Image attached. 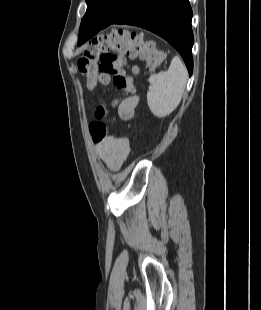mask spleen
Masks as SVG:
<instances>
[{
	"label": "spleen",
	"mask_w": 261,
	"mask_h": 310,
	"mask_svg": "<svg viewBox=\"0 0 261 310\" xmlns=\"http://www.w3.org/2000/svg\"><path fill=\"white\" fill-rule=\"evenodd\" d=\"M188 72L178 56H175L167 71L149 77L151 84L147 92L150 111L158 118L170 115L180 104L185 91Z\"/></svg>",
	"instance_id": "spleen-1"
}]
</instances>
